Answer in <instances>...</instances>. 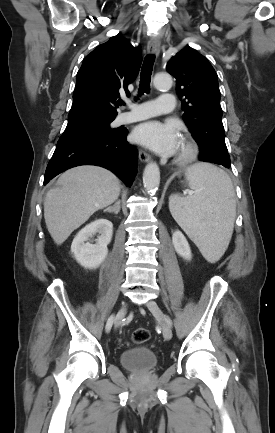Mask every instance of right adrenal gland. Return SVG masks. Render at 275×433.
Masks as SVG:
<instances>
[{
  "label": "right adrenal gland",
  "mask_w": 275,
  "mask_h": 433,
  "mask_svg": "<svg viewBox=\"0 0 275 433\" xmlns=\"http://www.w3.org/2000/svg\"><path fill=\"white\" fill-rule=\"evenodd\" d=\"M120 203L121 201L117 200V202L113 206L106 208L104 212H110V213L114 212L115 214H118L121 208Z\"/></svg>",
  "instance_id": "obj_1"
}]
</instances>
